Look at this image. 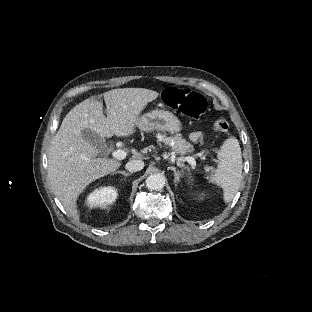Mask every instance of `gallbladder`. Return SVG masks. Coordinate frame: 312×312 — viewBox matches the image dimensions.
<instances>
[{"mask_svg": "<svg viewBox=\"0 0 312 312\" xmlns=\"http://www.w3.org/2000/svg\"><path fill=\"white\" fill-rule=\"evenodd\" d=\"M82 138L93 145V147L101 154L107 155L109 153V147L106 145L105 140L91 129H83L81 131Z\"/></svg>", "mask_w": 312, "mask_h": 312, "instance_id": "gallbladder-1", "label": "gallbladder"}]
</instances>
